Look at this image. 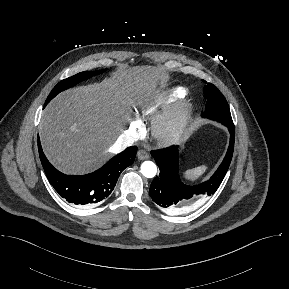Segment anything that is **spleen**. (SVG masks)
Instances as JSON below:
<instances>
[{"label": "spleen", "mask_w": 289, "mask_h": 289, "mask_svg": "<svg viewBox=\"0 0 289 289\" xmlns=\"http://www.w3.org/2000/svg\"><path fill=\"white\" fill-rule=\"evenodd\" d=\"M206 169V166H199L194 169L187 170L183 175L186 179L194 181L198 179L206 171Z\"/></svg>", "instance_id": "obj_1"}]
</instances>
